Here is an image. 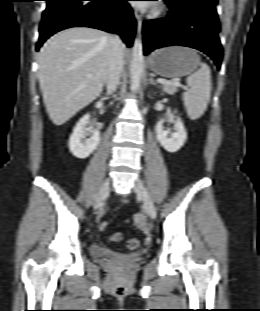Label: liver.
Instances as JSON below:
<instances>
[{"mask_svg": "<svg viewBox=\"0 0 260 311\" xmlns=\"http://www.w3.org/2000/svg\"><path fill=\"white\" fill-rule=\"evenodd\" d=\"M111 36L73 27L52 36L38 55V78L52 122L60 126L89 105L106 82Z\"/></svg>", "mask_w": 260, "mask_h": 311, "instance_id": "obj_1", "label": "liver"}]
</instances>
